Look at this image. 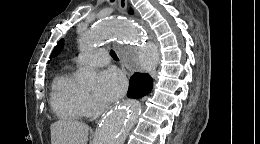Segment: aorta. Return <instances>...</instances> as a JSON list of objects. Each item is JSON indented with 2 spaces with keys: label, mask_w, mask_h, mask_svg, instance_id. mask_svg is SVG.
Returning <instances> with one entry per match:
<instances>
[{
  "label": "aorta",
  "mask_w": 260,
  "mask_h": 144,
  "mask_svg": "<svg viewBox=\"0 0 260 144\" xmlns=\"http://www.w3.org/2000/svg\"><path fill=\"white\" fill-rule=\"evenodd\" d=\"M114 40H123L129 47L121 53L128 62L139 61L144 69L155 67L152 57H143L138 60L135 47H140L145 42L143 30L131 20L118 18L102 20L91 29L79 36V48L83 52L91 50L94 45L109 43ZM96 73L91 67L82 68L78 79L87 86L95 83ZM141 103L136 100H127L112 109L101 120L96 131L95 144H124L130 130L137 124L141 114Z\"/></svg>",
  "instance_id": "1"
}]
</instances>
